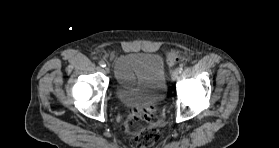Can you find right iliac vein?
Masks as SVG:
<instances>
[{
  "instance_id": "1",
  "label": "right iliac vein",
  "mask_w": 279,
  "mask_h": 148,
  "mask_svg": "<svg viewBox=\"0 0 279 148\" xmlns=\"http://www.w3.org/2000/svg\"><path fill=\"white\" fill-rule=\"evenodd\" d=\"M103 71H104L106 74H109L110 69H109V67L106 66V67L103 69Z\"/></svg>"
}]
</instances>
